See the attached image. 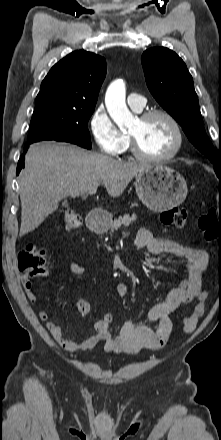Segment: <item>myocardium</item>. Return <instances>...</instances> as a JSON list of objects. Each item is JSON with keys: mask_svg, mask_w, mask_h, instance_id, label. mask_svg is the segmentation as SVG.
Masks as SVG:
<instances>
[{"mask_svg": "<svg viewBox=\"0 0 221 440\" xmlns=\"http://www.w3.org/2000/svg\"><path fill=\"white\" fill-rule=\"evenodd\" d=\"M156 116H162V117L166 118L173 127V130L175 133V145L172 148V150L169 153L162 155V156L147 155L140 149L136 138L130 134L129 137H130V143H131V151L136 158L143 160V161L165 162V161H168V160H171L172 158H174L182 149L183 140H184L183 131H182V128H181L179 122L177 121V119L170 112H168L167 110H164V109L148 110V111L142 113L140 115L139 119L142 121H145V120H148V119L156 117Z\"/></svg>", "mask_w": 221, "mask_h": 440, "instance_id": "1", "label": "myocardium"}]
</instances>
